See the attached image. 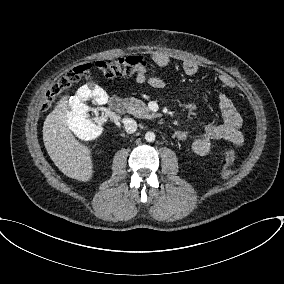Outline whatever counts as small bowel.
Listing matches in <instances>:
<instances>
[{"instance_id": "1", "label": "small bowel", "mask_w": 284, "mask_h": 284, "mask_svg": "<svg viewBox=\"0 0 284 284\" xmlns=\"http://www.w3.org/2000/svg\"><path fill=\"white\" fill-rule=\"evenodd\" d=\"M150 60L159 67H166L172 63V58L165 52L156 51L150 55ZM182 68L185 74L189 76L196 75L200 70V65L192 60H185L182 62ZM219 80L226 88H233V80L222 74ZM136 82L138 84L149 83L150 85L161 88L164 86V81L156 73L148 74L146 68L141 69L136 75ZM218 105L223 117V123L211 122L206 125L203 133L193 139L189 147L190 153L197 156H207L215 148L219 146V141H227L237 147L243 144V135L241 133L242 118L236 109L234 103L225 94L218 95ZM180 141H185L189 135L185 131H179L176 134Z\"/></svg>"}]
</instances>
